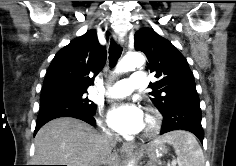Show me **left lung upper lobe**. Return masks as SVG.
<instances>
[{"instance_id":"1","label":"left lung upper lobe","mask_w":236,"mask_h":166,"mask_svg":"<svg viewBox=\"0 0 236 166\" xmlns=\"http://www.w3.org/2000/svg\"><path fill=\"white\" fill-rule=\"evenodd\" d=\"M135 50L148 58L147 69L156 72L158 80L150 83V99L163 113L170 109L183 108L191 99H199L193 73L187 60L171 42L151 28H142L135 33Z\"/></svg>"}]
</instances>
